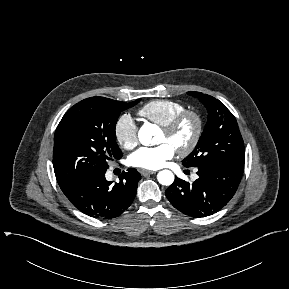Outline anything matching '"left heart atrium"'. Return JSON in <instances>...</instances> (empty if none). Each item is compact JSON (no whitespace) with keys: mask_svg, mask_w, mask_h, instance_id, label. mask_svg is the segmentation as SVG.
I'll use <instances>...</instances> for the list:
<instances>
[{"mask_svg":"<svg viewBox=\"0 0 289 289\" xmlns=\"http://www.w3.org/2000/svg\"><path fill=\"white\" fill-rule=\"evenodd\" d=\"M175 151L176 149L168 143L156 147H141L129 156L128 163L140 169H158L173 158Z\"/></svg>","mask_w":289,"mask_h":289,"instance_id":"obj_1","label":"left heart atrium"}]
</instances>
